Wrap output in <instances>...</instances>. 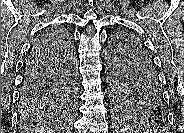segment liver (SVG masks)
Returning <instances> with one entry per match:
<instances>
[{
    "label": "liver",
    "instance_id": "liver-1",
    "mask_svg": "<svg viewBox=\"0 0 184 133\" xmlns=\"http://www.w3.org/2000/svg\"><path fill=\"white\" fill-rule=\"evenodd\" d=\"M34 133H54L56 130L47 127L45 124L36 125L32 130Z\"/></svg>",
    "mask_w": 184,
    "mask_h": 133
}]
</instances>
